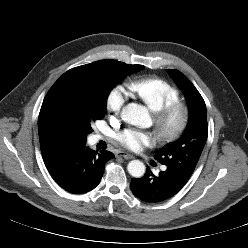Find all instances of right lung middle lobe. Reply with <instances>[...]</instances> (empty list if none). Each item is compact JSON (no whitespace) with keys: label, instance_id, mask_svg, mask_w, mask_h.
<instances>
[{"label":"right lung middle lobe","instance_id":"right-lung-middle-lobe-1","mask_svg":"<svg viewBox=\"0 0 248 248\" xmlns=\"http://www.w3.org/2000/svg\"><path fill=\"white\" fill-rule=\"evenodd\" d=\"M143 68L116 60H100L70 69L50 88L39 115L85 144L86 136L92 132L91 124L105 115L113 86Z\"/></svg>","mask_w":248,"mask_h":248}]
</instances>
